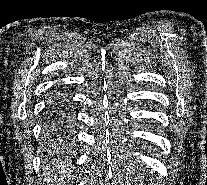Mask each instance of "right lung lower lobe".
I'll list each match as a JSON object with an SVG mask.
<instances>
[{"instance_id": "98d812e1", "label": "right lung lower lobe", "mask_w": 207, "mask_h": 185, "mask_svg": "<svg viewBox=\"0 0 207 185\" xmlns=\"http://www.w3.org/2000/svg\"><path fill=\"white\" fill-rule=\"evenodd\" d=\"M73 119L65 98L53 94L46 115V143L51 149H63L70 144Z\"/></svg>"}]
</instances>
